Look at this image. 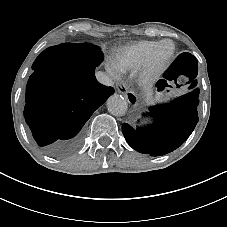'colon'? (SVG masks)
<instances>
[{
    "mask_svg": "<svg viewBox=\"0 0 227 227\" xmlns=\"http://www.w3.org/2000/svg\"><path fill=\"white\" fill-rule=\"evenodd\" d=\"M196 72V59L189 53L180 54L167 70L163 85L176 82L182 85L191 84Z\"/></svg>",
    "mask_w": 227,
    "mask_h": 227,
    "instance_id": "5ec220e1",
    "label": "colon"
}]
</instances>
